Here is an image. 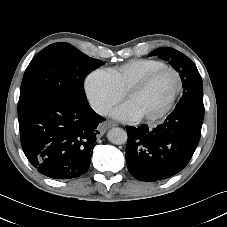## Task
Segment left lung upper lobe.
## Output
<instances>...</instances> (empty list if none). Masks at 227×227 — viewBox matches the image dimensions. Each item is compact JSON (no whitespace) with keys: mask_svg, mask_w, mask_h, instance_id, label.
Returning a JSON list of instances; mask_svg holds the SVG:
<instances>
[{"mask_svg":"<svg viewBox=\"0 0 227 227\" xmlns=\"http://www.w3.org/2000/svg\"><path fill=\"white\" fill-rule=\"evenodd\" d=\"M155 55L169 61L181 77L184 88L183 96L175 108L186 106L204 107L202 78L195 64L183 53L172 48H158L149 54V56Z\"/></svg>","mask_w":227,"mask_h":227,"instance_id":"left-lung-upper-lobe-1","label":"left lung upper lobe"}]
</instances>
